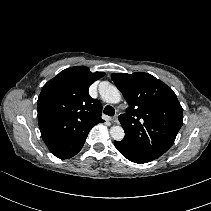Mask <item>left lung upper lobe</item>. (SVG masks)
<instances>
[{"instance_id":"5c2ea615","label":"left lung upper lobe","mask_w":211,"mask_h":211,"mask_svg":"<svg viewBox=\"0 0 211 211\" xmlns=\"http://www.w3.org/2000/svg\"><path fill=\"white\" fill-rule=\"evenodd\" d=\"M112 80L129 104L119 116L122 140L134 153L153 161L174 143L182 126L183 109L165 83L151 74H112Z\"/></svg>"}]
</instances>
